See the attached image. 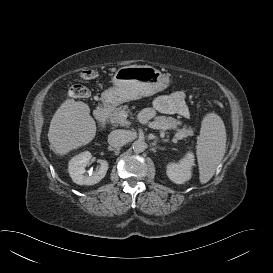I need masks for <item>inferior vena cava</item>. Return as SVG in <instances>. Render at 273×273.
Here are the masks:
<instances>
[{
	"mask_svg": "<svg viewBox=\"0 0 273 273\" xmlns=\"http://www.w3.org/2000/svg\"><path fill=\"white\" fill-rule=\"evenodd\" d=\"M129 140V133L126 130H114L108 135V142L114 148L124 146Z\"/></svg>",
	"mask_w": 273,
	"mask_h": 273,
	"instance_id": "obj_1",
	"label": "inferior vena cava"
}]
</instances>
